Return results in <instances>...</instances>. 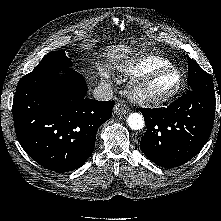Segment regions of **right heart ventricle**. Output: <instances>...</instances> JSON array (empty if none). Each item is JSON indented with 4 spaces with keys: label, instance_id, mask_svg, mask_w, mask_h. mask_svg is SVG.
Wrapping results in <instances>:
<instances>
[{
    "label": "right heart ventricle",
    "instance_id": "obj_1",
    "mask_svg": "<svg viewBox=\"0 0 221 221\" xmlns=\"http://www.w3.org/2000/svg\"><path fill=\"white\" fill-rule=\"evenodd\" d=\"M172 63L166 58L148 55L131 60L121 67V71L129 76L138 77L156 69L171 67Z\"/></svg>",
    "mask_w": 221,
    "mask_h": 221
}]
</instances>
